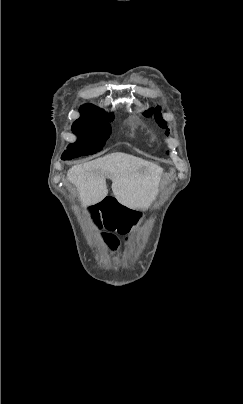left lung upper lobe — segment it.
Here are the masks:
<instances>
[{
	"label": "left lung upper lobe",
	"mask_w": 243,
	"mask_h": 404,
	"mask_svg": "<svg viewBox=\"0 0 243 404\" xmlns=\"http://www.w3.org/2000/svg\"><path fill=\"white\" fill-rule=\"evenodd\" d=\"M144 114H145V116H151L152 114H154L155 119H156L157 123L159 124V126L162 128H166V122L162 119L159 107L155 108L154 110L150 109V110L146 111ZM168 131H169V129L165 133L168 134Z\"/></svg>",
	"instance_id": "1"
}]
</instances>
